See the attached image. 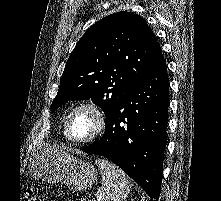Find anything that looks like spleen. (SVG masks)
Segmentation results:
<instances>
[{
	"label": "spleen",
	"instance_id": "obj_1",
	"mask_svg": "<svg viewBox=\"0 0 221 201\" xmlns=\"http://www.w3.org/2000/svg\"><path fill=\"white\" fill-rule=\"evenodd\" d=\"M102 174V186L99 190V201H122L132 189L131 180L118 166L109 160H95Z\"/></svg>",
	"mask_w": 221,
	"mask_h": 201
}]
</instances>
